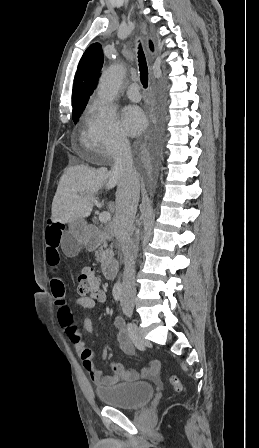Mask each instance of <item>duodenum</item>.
<instances>
[{"instance_id":"1","label":"duodenum","mask_w":259,"mask_h":448,"mask_svg":"<svg viewBox=\"0 0 259 448\" xmlns=\"http://www.w3.org/2000/svg\"><path fill=\"white\" fill-rule=\"evenodd\" d=\"M108 237L109 235L105 231L99 229L98 227H90L87 231V240H86L87 249L89 250L96 249L100 245V243L103 240L107 239ZM117 270H118L117 262L114 260H107L102 265L103 274L109 280H112L116 277Z\"/></svg>"}]
</instances>
